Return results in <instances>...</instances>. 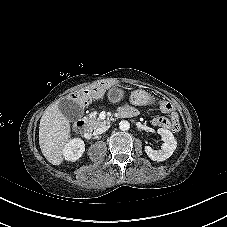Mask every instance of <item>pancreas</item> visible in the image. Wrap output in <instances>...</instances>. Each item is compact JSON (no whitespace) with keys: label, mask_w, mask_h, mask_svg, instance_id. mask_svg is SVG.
<instances>
[{"label":"pancreas","mask_w":227,"mask_h":227,"mask_svg":"<svg viewBox=\"0 0 227 227\" xmlns=\"http://www.w3.org/2000/svg\"><path fill=\"white\" fill-rule=\"evenodd\" d=\"M85 119L89 122V125L92 128H96V127L102 126V125H104V124H106L108 122V121H102V120H100L99 118L96 117L95 114H90Z\"/></svg>","instance_id":"cf45deb5"}]
</instances>
